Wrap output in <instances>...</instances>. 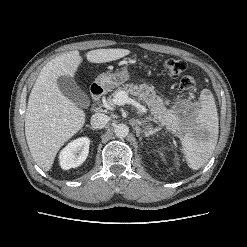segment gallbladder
Returning <instances> with one entry per match:
<instances>
[{
	"label": "gallbladder",
	"instance_id": "bac80fb5",
	"mask_svg": "<svg viewBox=\"0 0 247 247\" xmlns=\"http://www.w3.org/2000/svg\"><path fill=\"white\" fill-rule=\"evenodd\" d=\"M57 85L62 94L77 106L81 108H88L90 106L89 97L72 77L67 75L58 77Z\"/></svg>",
	"mask_w": 247,
	"mask_h": 247
}]
</instances>
